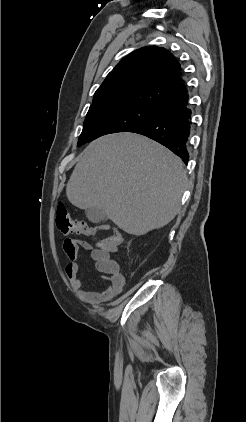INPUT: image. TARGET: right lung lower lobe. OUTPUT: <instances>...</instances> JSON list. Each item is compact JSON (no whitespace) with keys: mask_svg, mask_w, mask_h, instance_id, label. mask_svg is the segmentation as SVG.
I'll list each match as a JSON object with an SVG mask.
<instances>
[{"mask_svg":"<svg viewBox=\"0 0 246 422\" xmlns=\"http://www.w3.org/2000/svg\"><path fill=\"white\" fill-rule=\"evenodd\" d=\"M188 94L165 102L158 107L159 114L128 132L147 136L182 158L187 164L189 155L187 140L190 133L191 109L188 108Z\"/></svg>","mask_w":246,"mask_h":422,"instance_id":"98d812e1","label":"right lung lower lobe"}]
</instances>
